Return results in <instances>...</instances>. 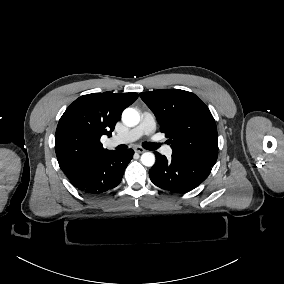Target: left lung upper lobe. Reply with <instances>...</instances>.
<instances>
[{
	"instance_id": "left-lung-upper-lobe-1",
	"label": "left lung upper lobe",
	"mask_w": 284,
	"mask_h": 284,
	"mask_svg": "<svg viewBox=\"0 0 284 284\" xmlns=\"http://www.w3.org/2000/svg\"><path fill=\"white\" fill-rule=\"evenodd\" d=\"M155 114L173 154L213 166L218 156L215 120L195 94L179 89L140 93Z\"/></svg>"
}]
</instances>
